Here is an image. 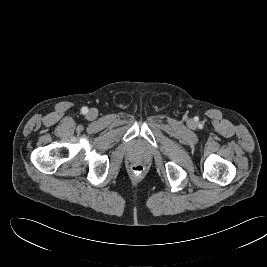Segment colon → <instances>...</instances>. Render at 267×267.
I'll use <instances>...</instances> for the list:
<instances>
[{"instance_id": "obj_1", "label": "colon", "mask_w": 267, "mask_h": 267, "mask_svg": "<svg viewBox=\"0 0 267 267\" xmlns=\"http://www.w3.org/2000/svg\"><path fill=\"white\" fill-rule=\"evenodd\" d=\"M131 170L135 175H140L144 172V166L141 163H135L132 165Z\"/></svg>"}]
</instances>
